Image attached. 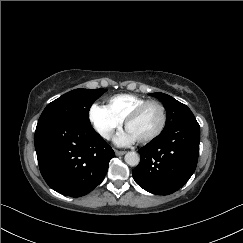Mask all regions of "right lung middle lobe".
I'll return each instance as SVG.
<instances>
[{"label":"right lung middle lobe","mask_w":243,"mask_h":243,"mask_svg":"<svg viewBox=\"0 0 243 243\" xmlns=\"http://www.w3.org/2000/svg\"><path fill=\"white\" fill-rule=\"evenodd\" d=\"M106 91V89L72 90L49 103L42 112L38 124L52 119H64L90 125L89 109Z\"/></svg>","instance_id":"right-lung-middle-lobe-1"}]
</instances>
